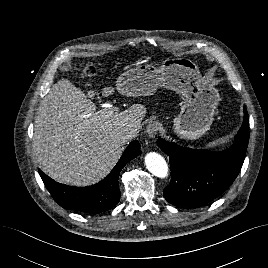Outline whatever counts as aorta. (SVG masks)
Segmentation results:
<instances>
[{
	"instance_id": "762f6f07",
	"label": "aorta",
	"mask_w": 268,
	"mask_h": 268,
	"mask_svg": "<svg viewBox=\"0 0 268 268\" xmlns=\"http://www.w3.org/2000/svg\"><path fill=\"white\" fill-rule=\"evenodd\" d=\"M145 165L148 171L156 177L165 178L168 175V165L165 159L156 152L146 154Z\"/></svg>"
}]
</instances>
